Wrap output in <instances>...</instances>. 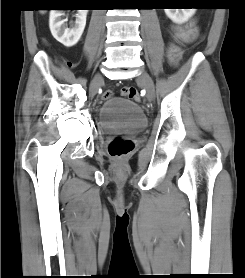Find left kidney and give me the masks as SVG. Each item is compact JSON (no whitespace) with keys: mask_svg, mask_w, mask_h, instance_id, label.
I'll list each match as a JSON object with an SVG mask.
<instances>
[{"mask_svg":"<svg viewBox=\"0 0 245 278\" xmlns=\"http://www.w3.org/2000/svg\"><path fill=\"white\" fill-rule=\"evenodd\" d=\"M168 18L173 22L181 24L186 22L196 11L193 9H164Z\"/></svg>","mask_w":245,"mask_h":278,"instance_id":"5707ae66","label":"left kidney"}]
</instances>
